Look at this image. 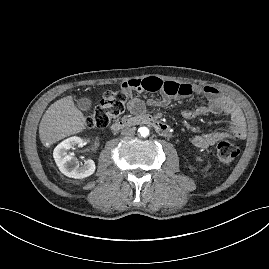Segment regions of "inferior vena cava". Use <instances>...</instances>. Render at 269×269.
Segmentation results:
<instances>
[{
	"mask_svg": "<svg viewBox=\"0 0 269 269\" xmlns=\"http://www.w3.org/2000/svg\"><path fill=\"white\" fill-rule=\"evenodd\" d=\"M134 133H135V131L131 127H124L121 131V134L125 135V136H132V135H134Z\"/></svg>",
	"mask_w": 269,
	"mask_h": 269,
	"instance_id": "inferior-vena-cava-1",
	"label": "inferior vena cava"
}]
</instances>
